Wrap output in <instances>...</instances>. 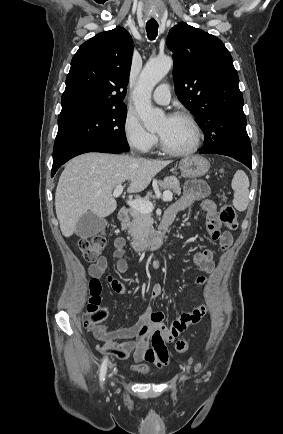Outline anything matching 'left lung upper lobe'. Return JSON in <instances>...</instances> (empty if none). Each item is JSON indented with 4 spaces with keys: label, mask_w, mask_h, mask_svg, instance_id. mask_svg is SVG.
I'll return each mask as SVG.
<instances>
[{
    "label": "left lung upper lobe",
    "mask_w": 283,
    "mask_h": 434,
    "mask_svg": "<svg viewBox=\"0 0 283 434\" xmlns=\"http://www.w3.org/2000/svg\"><path fill=\"white\" fill-rule=\"evenodd\" d=\"M175 92L205 134L204 151L251 158L243 96L231 54L217 37L184 22L167 37Z\"/></svg>",
    "instance_id": "1"
}]
</instances>
